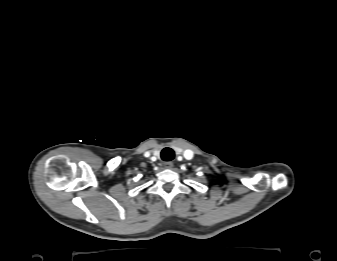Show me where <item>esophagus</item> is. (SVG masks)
Here are the masks:
<instances>
[{
  "instance_id": "esophagus-1",
  "label": "esophagus",
  "mask_w": 337,
  "mask_h": 261,
  "mask_svg": "<svg viewBox=\"0 0 337 261\" xmlns=\"http://www.w3.org/2000/svg\"><path fill=\"white\" fill-rule=\"evenodd\" d=\"M164 167L167 169H171L173 167V162L171 161L164 162Z\"/></svg>"
}]
</instances>
